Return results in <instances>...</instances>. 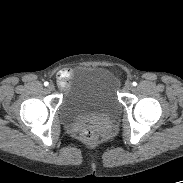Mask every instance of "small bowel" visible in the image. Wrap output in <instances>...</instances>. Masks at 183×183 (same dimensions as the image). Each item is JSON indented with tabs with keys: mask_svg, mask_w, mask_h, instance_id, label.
I'll return each mask as SVG.
<instances>
[{
	"mask_svg": "<svg viewBox=\"0 0 183 183\" xmlns=\"http://www.w3.org/2000/svg\"><path fill=\"white\" fill-rule=\"evenodd\" d=\"M70 75H71V72L69 70H63L62 72H60L59 80H60V84L63 87L67 85Z\"/></svg>",
	"mask_w": 183,
	"mask_h": 183,
	"instance_id": "obj_1",
	"label": "small bowel"
}]
</instances>
